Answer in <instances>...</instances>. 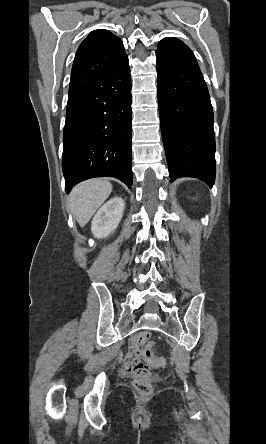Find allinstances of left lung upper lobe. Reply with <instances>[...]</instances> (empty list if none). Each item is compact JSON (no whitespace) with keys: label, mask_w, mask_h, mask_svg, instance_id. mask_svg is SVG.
I'll use <instances>...</instances> for the list:
<instances>
[{"label":"left lung upper lobe","mask_w":266,"mask_h":444,"mask_svg":"<svg viewBox=\"0 0 266 444\" xmlns=\"http://www.w3.org/2000/svg\"><path fill=\"white\" fill-rule=\"evenodd\" d=\"M156 55L169 59L171 61L198 66L197 60L191 49L177 38L162 39L156 50Z\"/></svg>","instance_id":"left-lung-upper-lobe-1"}]
</instances>
